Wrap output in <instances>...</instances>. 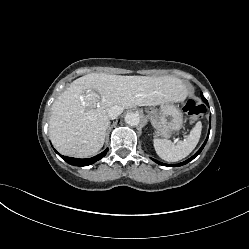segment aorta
Segmentation results:
<instances>
[{"instance_id": "762f6f07", "label": "aorta", "mask_w": 249, "mask_h": 249, "mask_svg": "<svg viewBox=\"0 0 249 249\" xmlns=\"http://www.w3.org/2000/svg\"><path fill=\"white\" fill-rule=\"evenodd\" d=\"M140 122V117L137 113H127L125 116V123L130 126H137Z\"/></svg>"}]
</instances>
